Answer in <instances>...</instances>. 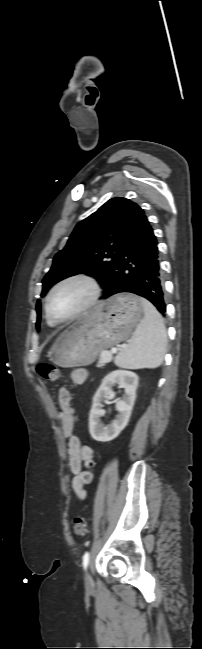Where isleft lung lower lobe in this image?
Segmentation results:
<instances>
[{"label": "left lung lower lobe", "instance_id": "left-lung-lower-lobe-1", "mask_svg": "<svg viewBox=\"0 0 202 649\" xmlns=\"http://www.w3.org/2000/svg\"><path fill=\"white\" fill-rule=\"evenodd\" d=\"M158 254L156 237L144 216L124 243L113 278L101 299L130 292L148 299L164 314Z\"/></svg>", "mask_w": 202, "mask_h": 649}]
</instances>
